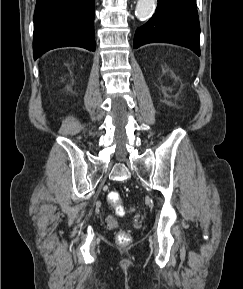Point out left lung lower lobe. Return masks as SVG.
<instances>
[{"label":"left lung lower lobe","mask_w":243,"mask_h":289,"mask_svg":"<svg viewBox=\"0 0 243 289\" xmlns=\"http://www.w3.org/2000/svg\"><path fill=\"white\" fill-rule=\"evenodd\" d=\"M199 40L196 0H158L153 17L136 30L133 47L171 43L187 47L200 56Z\"/></svg>","instance_id":"1"}]
</instances>
